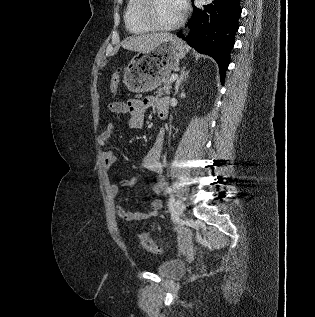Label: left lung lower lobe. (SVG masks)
I'll use <instances>...</instances> for the list:
<instances>
[{
  "instance_id": "0a47b994",
  "label": "left lung lower lobe",
  "mask_w": 315,
  "mask_h": 317,
  "mask_svg": "<svg viewBox=\"0 0 315 317\" xmlns=\"http://www.w3.org/2000/svg\"><path fill=\"white\" fill-rule=\"evenodd\" d=\"M193 2V0H192ZM241 15L240 0H214L203 9L193 6V15L187 25L190 34L177 36L199 53L213 57L219 65L221 83L230 63V52Z\"/></svg>"
}]
</instances>
